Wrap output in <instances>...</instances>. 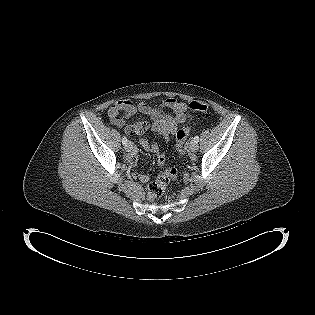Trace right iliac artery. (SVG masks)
I'll use <instances>...</instances> for the list:
<instances>
[{"mask_svg": "<svg viewBox=\"0 0 315 315\" xmlns=\"http://www.w3.org/2000/svg\"><path fill=\"white\" fill-rule=\"evenodd\" d=\"M127 138L125 137V136H123V138H122V143H123V145H126L127 144Z\"/></svg>", "mask_w": 315, "mask_h": 315, "instance_id": "right-iliac-artery-1", "label": "right iliac artery"}]
</instances>
